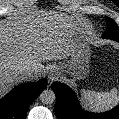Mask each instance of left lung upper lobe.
<instances>
[{
	"label": "left lung upper lobe",
	"mask_w": 119,
	"mask_h": 119,
	"mask_svg": "<svg viewBox=\"0 0 119 119\" xmlns=\"http://www.w3.org/2000/svg\"><path fill=\"white\" fill-rule=\"evenodd\" d=\"M107 29L102 37L108 36L109 39L113 37H119V27L117 24L109 17H106Z\"/></svg>",
	"instance_id": "left-lung-upper-lobe-1"
}]
</instances>
